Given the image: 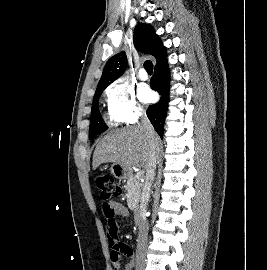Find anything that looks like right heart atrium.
<instances>
[{
	"mask_svg": "<svg viewBox=\"0 0 267 270\" xmlns=\"http://www.w3.org/2000/svg\"><path fill=\"white\" fill-rule=\"evenodd\" d=\"M105 96L109 115L118 123H135L144 115L134 90L121 80L111 83L105 90Z\"/></svg>",
	"mask_w": 267,
	"mask_h": 270,
	"instance_id": "1",
	"label": "right heart atrium"
}]
</instances>
